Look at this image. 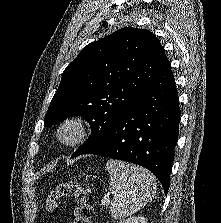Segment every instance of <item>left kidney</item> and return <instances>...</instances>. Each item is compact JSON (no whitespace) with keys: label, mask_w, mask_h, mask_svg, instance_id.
Masks as SVG:
<instances>
[{"label":"left kidney","mask_w":221,"mask_h":223,"mask_svg":"<svg viewBox=\"0 0 221 223\" xmlns=\"http://www.w3.org/2000/svg\"><path fill=\"white\" fill-rule=\"evenodd\" d=\"M120 223H147V219L142 216L130 217L121 221Z\"/></svg>","instance_id":"1"}]
</instances>
